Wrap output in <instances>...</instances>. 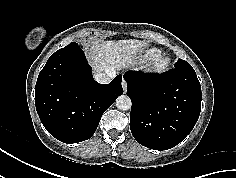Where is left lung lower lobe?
<instances>
[{
    "label": "left lung lower lobe",
    "mask_w": 236,
    "mask_h": 178,
    "mask_svg": "<svg viewBox=\"0 0 236 178\" xmlns=\"http://www.w3.org/2000/svg\"><path fill=\"white\" fill-rule=\"evenodd\" d=\"M124 78L132 101L130 129L138 143L167 150L192 131L202 98L193 68H173L163 74L129 71Z\"/></svg>",
    "instance_id": "1"
}]
</instances>
